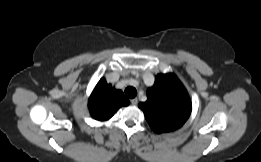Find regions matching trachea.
<instances>
[{"label": "trachea", "mask_w": 261, "mask_h": 162, "mask_svg": "<svg viewBox=\"0 0 261 162\" xmlns=\"http://www.w3.org/2000/svg\"><path fill=\"white\" fill-rule=\"evenodd\" d=\"M125 95L128 97V98H134L136 97L137 95V90L134 88V87H127L125 89Z\"/></svg>", "instance_id": "obj_1"}]
</instances>
